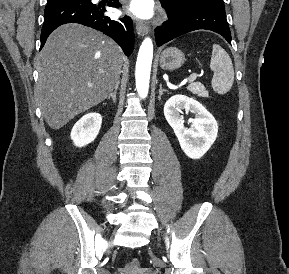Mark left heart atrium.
Instances as JSON below:
<instances>
[{
  "instance_id": "obj_1",
  "label": "left heart atrium",
  "mask_w": 289,
  "mask_h": 274,
  "mask_svg": "<svg viewBox=\"0 0 289 274\" xmlns=\"http://www.w3.org/2000/svg\"><path fill=\"white\" fill-rule=\"evenodd\" d=\"M129 11L140 18H148L153 12V5L151 0H131L129 4Z\"/></svg>"
}]
</instances>
